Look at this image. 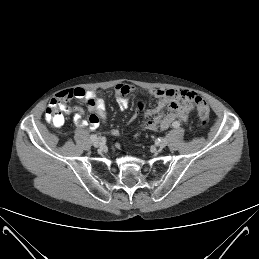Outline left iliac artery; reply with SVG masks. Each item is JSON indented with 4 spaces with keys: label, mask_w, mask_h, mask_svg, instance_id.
Instances as JSON below:
<instances>
[{
    "label": "left iliac artery",
    "mask_w": 259,
    "mask_h": 259,
    "mask_svg": "<svg viewBox=\"0 0 259 259\" xmlns=\"http://www.w3.org/2000/svg\"><path fill=\"white\" fill-rule=\"evenodd\" d=\"M172 126H173L174 128H179L180 124H179L178 122H174V123L172 124Z\"/></svg>",
    "instance_id": "1"
}]
</instances>
